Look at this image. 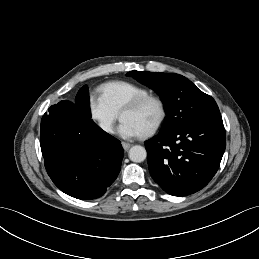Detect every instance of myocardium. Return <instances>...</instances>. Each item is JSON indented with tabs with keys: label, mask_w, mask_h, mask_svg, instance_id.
I'll return each mask as SVG.
<instances>
[{
	"label": "myocardium",
	"mask_w": 259,
	"mask_h": 259,
	"mask_svg": "<svg viewBox=\"0 0 259 259\" xmlns=\"http://www.w3.org/2000/svg\"><path fill=\"white\" fill-rule=\"evenodd\" d=\"M149 101H153L158 105L159 110H160V115H159L157 122L149 130L140 134V136L143 138H147V137L154 135L163 126V124L166 120V117H167V108H166V104H165L164 100L158 95L148 94L145 96L137 97V98L129 101L119 112V117L122 118V115L124 113L133 112V111L137 110L138 108H140L143 104H145L146 102H149Z\"/></svg>",
	"instance_id": "1"
}]
</instances>
